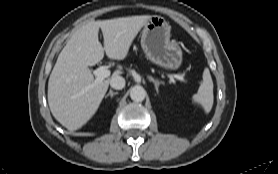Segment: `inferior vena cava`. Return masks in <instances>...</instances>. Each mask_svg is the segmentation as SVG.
<instances>
[{
    "label": "inferior vena cava",
    "mask_w": 278,
    "mask_h": 174,
    "mask_svg": "<svg viewBox=\"0 0 278 174\" xmlns=\"http://www.w3.org/2000/svg\"><path fill=\"white\" fill-rule=\"evenodd\" d=\"M110 85L116 90H121L125 87V79L121 76H114L110 80Z\"/></svg>",
    "instance_id": "obj_1"
}]
</instances>
